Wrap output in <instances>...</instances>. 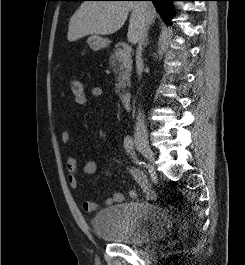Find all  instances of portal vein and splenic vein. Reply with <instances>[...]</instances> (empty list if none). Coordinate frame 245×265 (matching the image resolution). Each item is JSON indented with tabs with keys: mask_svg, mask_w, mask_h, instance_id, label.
<instances>
[{
	"mask_svg": "<svg viewBox=\"0 0 245 265\" xmlns=\"http://www.w3.org/2000/svg\"><path fill=\"white\" fill-rule=\"evenodd\" d=\"M130 53H131V46L125 45L123 47V51L121 52V55L126 56V55H130Z\"/></svg>",
	"mask_w": 245,
	"mask_h": 265,
	"instance_id": "portal-vein-and-splenic-vein-1",
	"label": "portal vein and splenic vein"
}]
</instances>
